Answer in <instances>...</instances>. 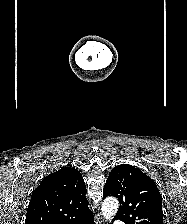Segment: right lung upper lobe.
Listing matches in <instances>:
<instances>
[{
    "mask_svg": "<svg viewBox=\"0 0 187 224\" xmlns=\"http://www.w3.org/2000/svg\"><path fill=\"white\" fill-rule=\"evenodd\" d=\"M85 194L77 169L65 167L53 172L33 191L25 224H84L93 218Z\"/></svg>",
    "mask_w": 187,
    "mask_h": 224,
    "instance_id": "1",
    "label": "right lung upper lobe"
}]
</instances>
